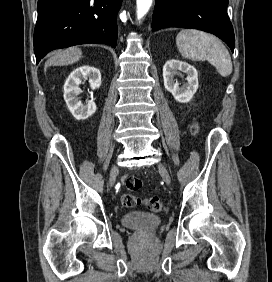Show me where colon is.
I'll return each instance as SVG.
<instances>
[{
    "label": "colon",
    "mask_w": 272,
    "mask_h": 282,
    "mask_svg": "<svg viewBox=\"0 0 272 282\" xmlns=\"http://www.w3.org/2000/svg\"><path fill=\"white\" fill-rule=\"evenodd\" d=\"M126 187L130 191H138L142 187V181L138 177L130 176L126 179ZM121 200L123 206L127 208L134 207L140 202H143L146 208L151 212H160L163 208V202L159 197H147L140 199L131 194H125L122 196Z\"/></svg>",
    "instance_id": "obj_1"
}]
</instances>
